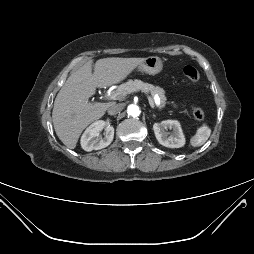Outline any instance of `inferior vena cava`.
<instances>
[{
	"instance_id": "602c4592",
	"label": "inferior vena cava",
	"mask_w": 254,
	"mask_h": 254,
	"mask_svg": "<svg viewBox=\"0 0 254 254\" xmlns=\"http://www.w3.org/2000/svg\"><path fill=\"white\" fill-rule=\"evenodd\" d=\"M124 106L122 104H112L108 108V114L109 115H115L117 113H120L123 110Z\"/></svg>"
}]
</instances>
